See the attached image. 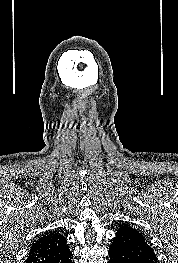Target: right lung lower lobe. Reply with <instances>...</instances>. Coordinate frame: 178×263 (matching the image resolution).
Wrapping results in <instances>:
<instances>
[{
	"label": "right lung lower lobe",
	"instance_id": "1",
	"mask_svg": "<svg viewBox=\"0 0 178 263\" xmlns=\"http://www.w3.org/2000/svg\"><path fill=\"white\" fill-rule=\"evenodd\" d=\"M73 259V254L72 252L69 250L65 253H63L62 255H60L58 258H56L55 260L51 261V263H74L72 261Z\"/></svg>",
	"mask_w": 178,
	"mask_h": 263
}]
</instances>
